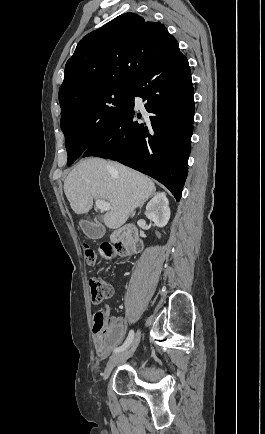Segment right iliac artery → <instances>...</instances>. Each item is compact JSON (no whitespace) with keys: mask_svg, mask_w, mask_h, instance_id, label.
<instances>
[{"mask_svg":"<svg viewBox=\"0 0 265 434\" xmlns=\"http://www.w3.org/2000/svg\"><path fill=\"white\" fill-rule=\"evenodd\" d=\"M133 337H134V331L130 330L128 337H127L126 341L124 342V344L120 347L115 348L114 353H119V352L125 350L131 344Z\"/></svg>","mask_w":265,"mask_h":434,"instance_id":"1","label":"right iliac artery"}]
</instances>
